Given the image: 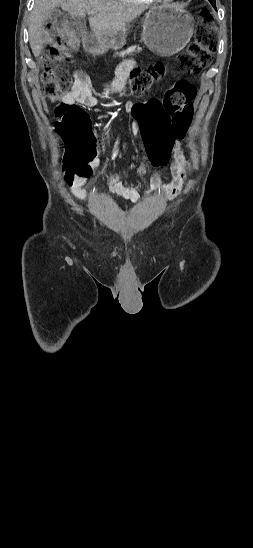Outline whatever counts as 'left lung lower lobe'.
<instances>
[{
    "mask_svg": "<svg viewBox=\"0 0 253 548\" xmlns=\"http://www.w3.org/2000/svg\"><path fill=\"white\" fill-rule=\"evenodd\" d=\"M210 3L213 5L214 8H216V5H215V0H209Z\"/></svg>",
    "mask_w": 253,
    "mask_h": 548,
    "instance_id": "0a47b994",
    "label": "left lung lower lobe"
}]
</instances>
